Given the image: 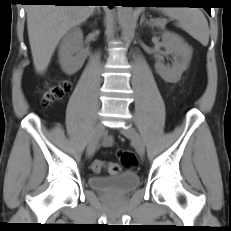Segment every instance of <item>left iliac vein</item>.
Returning a JSON list of instances; mask_svg holds the SVG:
<instances>
[{"instance_id": "4c4485c4", "label": "left iliac vein", "mask_w": 231, "mask_h": 231, "mask_svg": "<svg viewBox=\"0 0 231 231\" xmlns=\"http://www.w3.org/2000/svg\"><path fill=\"white\" fill-rule=\"evenodd\" d=\"M121 133L131 139L135 145V148L138 152V154L140 156H143L145 154V145H144V142L142 140V138L140 137V135L138 134V132L136 131L135 128L131 127V126H128V127H125V128H122L121 129Z\"/></svg>"}]
</instances>
